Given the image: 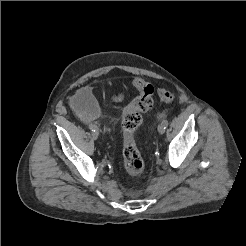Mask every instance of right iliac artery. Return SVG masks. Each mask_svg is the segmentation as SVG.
<instances>
[{"instance_id": "1", "label": "right iliac artery", "mask_w": 246, "mask_h": 246, "mask_svg": "<svg viewBox=\"0 0 246 246\" xmlns=\"http://www.w3.org/2000/svg\"><path fill=\"white\" fill-rule=\"evenodd\" d=\"M89 129L94 132L97 130V127L95 125L91 124V125H89Z\"/></svg>"}]
</instances>
